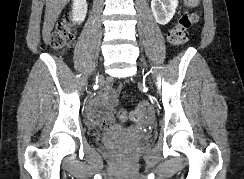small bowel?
I'll return each instance as SVG.
<instances>
[{"instance_id": "c3829d8e", "label": "small bowel", "mask_w": 244, "mask_h": 179, "mask_svg": "<svg viewBox=\"0 0 244 179\" xmlns=\"http://www.w3.org/2000/svg\"><path fill=\"white\" fill-rule=\"evenodd\" d=\"M117 106V94L115 92H110L105 95V99L100 100L97 105V110H94L92 113L94 115L96 123L101 127H110L115 124L112 115V110H116ZM145 114H134L133 116H142V121L138 124L139 126H143L149 121H154V116L152 115V110H145ZM118 116H126V115H118ZM123 122V121H121Z\"/></svg>"}]
</instances>
